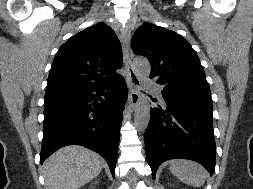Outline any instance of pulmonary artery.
Returning a JSON list of instances; mask_svg holds the SVG:
<instances>
[{"mask_svg":"<svg viewBox=\"0 0 253 189\" xmlns=\"http://www.w3.org/2000/svg\"><path fill=\"white\" fill-rule=\"evenodd\" d=\"M144 85L146 87H149V88H155L156 87L154 82L152 80H150L149 78L144 79Z\"/></svg>","mask_w":253,"mask_h":189,"instance_id":"e3ab8cb5","label":"pulmonary artery"}]
</instances>
